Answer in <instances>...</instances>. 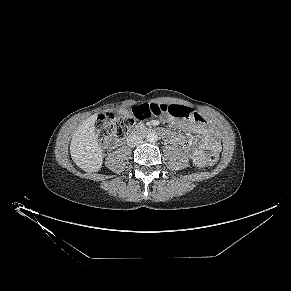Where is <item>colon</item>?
<instances>
[{
    "label": "colon",
    "instance_id": "obj_1",
    "mask_svg": "<svg viewBox=\"0 0 291 291\" xmlns=\"http://www.w3.org/2000/svg\"><path fill=\"white\" fill-rule=\"evenodd\" d=\"M164 113L175 118L198 119L200 116L194 110L183 105H137L133 106L130 111L123 116H115L111 113L101 115L95 126L97 139L101 142L110 139H121L137 121L159 116ZM218 158V151H211L208 154L207 160L208 163L214 164L218 161Z\"/></svg>",
    "mask_w": 291,
    "mask_h": 291
}]
</instances>
